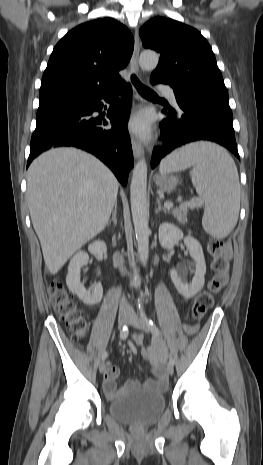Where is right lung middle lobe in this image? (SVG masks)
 Here are the masks:
<instances>
[{
	"label": "right lung middle lobe",
	"mask_w": 263,
	"mask_h": 465,
	"mask_svg": "<svg viewBox=\"0 0 263 465\" xmlns=\"http://www.w3.org/2000/svg\"><path fill=\"white\" fill-rule=\"evenodd\" d=\"M74 98L75 97H64V98H55V99L43 100V101H40V103H39V109L44 108V107H48V106H51V105L59 104V103L68 102V101H70V100H72Z\"/></svg>",
	"instance_id": "obj_1"
}]
</instances>
